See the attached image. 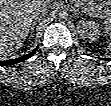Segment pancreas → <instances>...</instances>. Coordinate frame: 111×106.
<instances>
[{
  "label": "pancreas",
  "mask_w": 111,
  "mask_h": 106,
  "mask_svg": "<svg viewBox=\"0 0 111 106\" xmlns=\"http://www.w3.org/2000/svg\"><path fill=\"white\" fill-rule=\"evenodd\" d=\"M81 6L93 17L111 19V1L81 0Z\"/></svg>",
  "instance_id": "obj_1"
}]
</instances>
